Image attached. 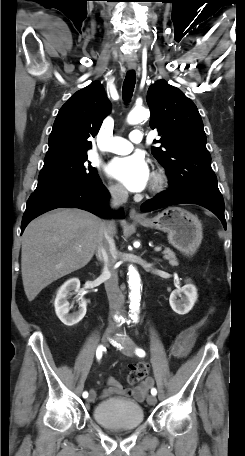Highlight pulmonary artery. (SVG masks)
Listing matches in <instances>:
<instances>
[{
    "instance_id": "1",
    "label": "pulmonary artery",
    "mask_w": 245,
    "mask_h": 456,
    "mask_svg": "<svg viewBox=\"0 0 245 456\" xmlns=\"http://www.w3.org/2000/svg\"><path fill=\"white\" fill-rule=\"evenodd\" d=\"M143 139V133L140 130H133L129 139L122 137H112L108 140L103 150L116 154H126L132 151L133 144L140 143Z\"/></svg>"
}]
</instances>
